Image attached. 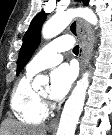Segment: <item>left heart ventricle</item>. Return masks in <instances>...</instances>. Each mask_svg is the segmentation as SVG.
<instances>
[{"label": "left heart ventricle", "mask_w": 112, "mask_h": 135, "mask_svg": "<svg viewBox=\"0 0 112 135\" xmlns=\"http://www.w3.org/2000/svg\"><path fill=\"white\" fill-rule=\"evenodd\" d=\"M41 95L47 96L48 95V90L44 89L40 92Z\"/></svg>", "instance_id": "1"}]
</instances>
